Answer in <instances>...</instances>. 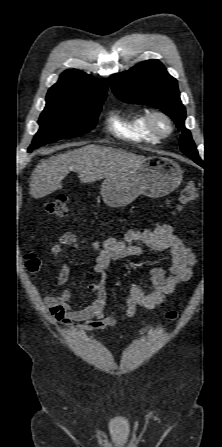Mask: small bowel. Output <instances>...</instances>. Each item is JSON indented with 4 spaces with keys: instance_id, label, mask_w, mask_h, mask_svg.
<instances>
[{
    "instance_id": "c3829d8e",
    "label": "small bowel",
    "mask_w": 222,
    "mask_h": 447,
    "mask_svg": "<svg viewBox=\"0 0 222 447\" xmlns=\"http://www.w3.org/2000/svg\"><path fill=\"white\" fill-rule=\"evenodd\" d=\"M65 246L79 249L84 246V242L74 233L62 234L50 248L55 260L61 258ZM93 247L97 256L92 269L100 275V280L89 283V289L96 296L95 300L82 309L72 310L71 288L64 289L57 296L44 299L50 315L57 322L77 331L104 329L116 325V313L108 312L106 308L105 271L112 261L140 256L144 248L168 257L167 267L151 270L152 288L149 292H145L138 283L130 286L125 309L127 317H134L138 308L152 310L162 305L167 296L174 294L179 285L191 278L192 266L195 263L194 254L177 237L175 227L162 222H153L151 229L130 230L125 240L109 236L101 242H95ZM69 278L70 267L65 266L58 275L57 286L62 287Z\"/></svg>"
}]
</instances>
